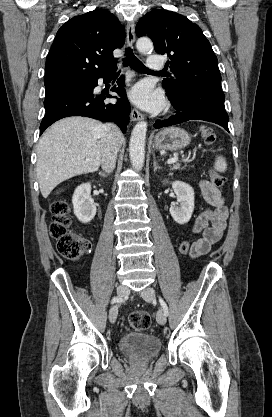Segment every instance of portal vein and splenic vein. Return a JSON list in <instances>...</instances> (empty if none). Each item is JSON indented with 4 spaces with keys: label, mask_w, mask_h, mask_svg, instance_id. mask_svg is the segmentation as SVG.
<instances>
[{
    "label": "portal vein and splenic vein",
    "mask_w": 272,
    "mask_h": 417,
    "mask_svg": "<svg viewBox=\"0 0 272 417\" xmlns=\"http://www.w3.org/2000/svg\"><path fill=\"white\" fill-rule=\"evenodd\" d=\"M87 161H88V159H87ZM177 161H178V157H173V158L168 159L167 164H172V163H175Z\"/></svg>",
    "instance_id": "18ae733b"
}]
</instances>
